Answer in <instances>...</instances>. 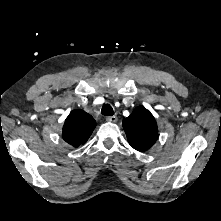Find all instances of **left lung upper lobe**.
I'll list each match as a JSON object with an SVG mask.
<instances>
[{
	"label": "left lung upper lobe",
	"instance_id": "left-lung-upper-lobe-1",
	"mask_svg": "<svg viewBox=\"0 0 221 221\" xmlns=\"http://www.w3.org/2000/svg\"><path fill=\"white\" fill-rule=\"evenodd\" d=\"M122 125L129 144L138 151L148 150L157 140L156 121L143 106L136 107L131 115L123 120Z\"/></svg>",
	"mask_w": 221,
	"mask_h": 221
}]
</instances>
